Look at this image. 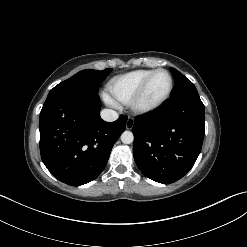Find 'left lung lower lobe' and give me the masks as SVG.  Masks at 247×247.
<instances>
[{
    "label": "left lung lower lobe",
    "mask_w": 247,
    "mask_h": 247,
    "mask_svg": "<svg viewBox=\"0 0 247 247\" xmlns=\"http://www.w3.org/2000/svg\"><path fill=\"white\" fill-rule=\"evenodd\" d=\"M204 122L199 94L171 98L156 112L137 118L133 155L140 171L163 184L186 175L200 154Z\"/></svg>",
    "instance_id": "0a47b994"
}]
</instances>
